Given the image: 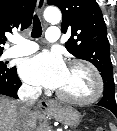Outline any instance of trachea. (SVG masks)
Listing matches in <instances>:
<instances>
[{"mask_svg": "<svg viewBox=\"0 0 117 131\" xmlns=\"http://www.w3.org/2000/svg\"><path fill=\"white\" fill-rule=\"evenodd\" d=\"M42 35V27H41V22L38 18L37 15L34 16L33 19V28L31 32V36L33 38H39Z\"/></svg>", "mask_w": 117, "mask_h": 131, "instance_id": "3493384b", "label": "trachea"}]
</instances>
